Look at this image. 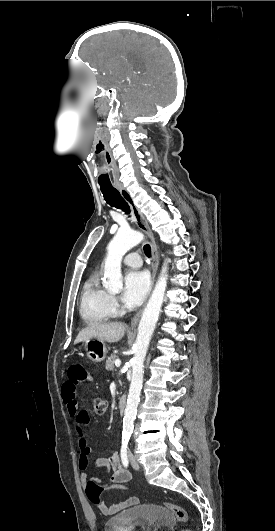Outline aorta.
<instances>
[{"label":"aorta","instance_id":"aorta-1","mask_svg":"<svg viewBox=\"0 0 275 531\" xmlns=\"http://www.w3.org/2000/svg\"><path fill=\"white\" fill-rule=\"evenodd\" d=\"M143 235L138 231H118L107 247V255L104 265L103 287L107 291H120L123 287L121 275V263L127 251L139 245ZM166 263L162 267L161 275L152 291V295L142 313L138 333L134 345V357L132 359V379L129 395L124 411L123 433L132 435L134 421L137 415V407L140 401V393L143 383V367L147 355L149 343L154 333L159 313L161 311L166 291Z\"/></svg>","mask_w":275,"mask_h":531}]
</instances>
